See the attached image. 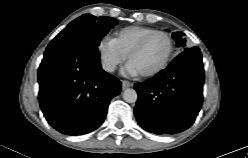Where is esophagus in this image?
I'll list each match as a JSON object with an SVG mask.
<instances>
[{
  "label": "esophagus",
  "mask_w": 248,
  "mask_h": 158,
  "mask_svg": "<svg viewBox=\"0 0 248 158\" xmlns=\"http://www.w3.org/2000/svg\"><path fill=\"white\" fill-rule=\"evenodd\" d=\"M131 86H132V83H131V82L126 81V80H123V81H122V89H123V90H125V89H127V88H129V87H131Z\"/></svg>",
  "instance_id": "esophagus-1"
}]
</instances>
